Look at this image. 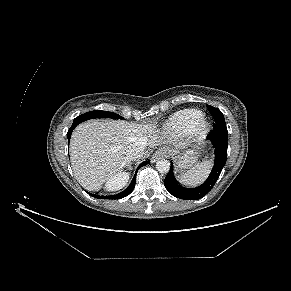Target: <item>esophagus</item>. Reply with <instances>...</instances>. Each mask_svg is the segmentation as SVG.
I'll return each instance as SVG.
<instances>
[{"label":"esophagus","instance_id":"esophagus-1","mask_svg":"<svg viewBox=\"0 0 291 291\" xmlns=\"http://www.w3.org/2000/svg\"><path fill=\"white\" fill-rule=\"evenodd\" d=\"M166 154H167V150H166V149H163V148L158 149V150L153 154V156L151 157V162L154 163V162H156L158 159L166 157Z\"/></svg>","mask_w":291,"mask_h":291}]
</instances>
